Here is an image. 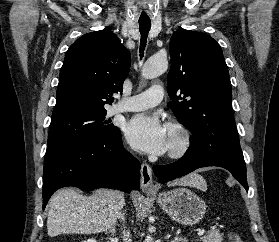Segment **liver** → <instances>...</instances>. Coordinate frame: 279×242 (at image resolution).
I'll return each mask as SVG.
<instances>
[{
    "instance_id": "obj_1",
    "label": "liver",
    "mask_w": 279,
    "mask_h": 242,
    "mask_svg": "<svg viewBox=\"0 0 279 242\" xmlns=\"http://www.w3.org/2000/svg\"><path fill=\"white\" fill-rule=\"evenodd\" d=\"M207 189L205 180L191 174L171 183ZM47 231L50 237L60 234H91L106 231L112 227L124 206L120 191L98 189L90 196H84L70 188L57 191L50 199Z\"/></svg>"
}]
</instances>
